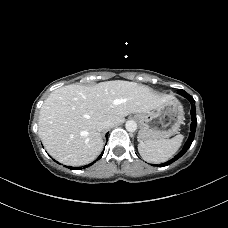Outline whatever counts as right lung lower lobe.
<instances>
[{"mask_svg":"<svg viewBox=\"0 0 228 228\" xmlns=\"http://www.w3.org/2000/svg\"><path fill=\"white\" fill-rule=\"evenodd\" d=\"M102 155H103V153L96 159V161L99 160V159L102 157ZM93 163H94V162H93ZM93 163L88 164V165L84 166L83 168L88 167V166L92 165ZM70 168H71V169H76V170L82 169V167H70Z\"/></svg>","mask_w":228,"mask_h":228,"instance_id":"right-lung-lower-lobe-1","label":"right lung lower lobe"}]
</instances>
